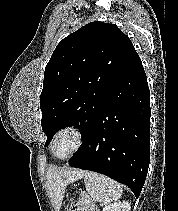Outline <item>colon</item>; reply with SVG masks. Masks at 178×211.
<instances>
[{
  "label": "colon",
  "instance_id": "5ec220e1",
  "mask_svg": "<svg viewBox=\"0 0 178 211\" xmlns=\"http://www.w3.org/2000/svg\"><path fill=\"white\" fill-rule=\"evenodd\" d=\"M68 211H79V209L77 207H75L73 204H71Z\"/></svg>",
  "mask_w": 178,
  "mask_h": 211
}]
</instances>
